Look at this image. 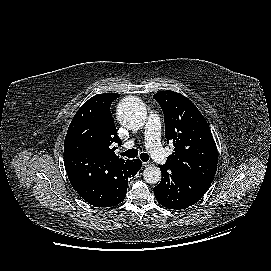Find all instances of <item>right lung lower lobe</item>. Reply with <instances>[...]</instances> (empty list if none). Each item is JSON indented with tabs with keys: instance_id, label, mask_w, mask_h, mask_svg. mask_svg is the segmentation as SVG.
Segmentation results:
<instances>
[{
	"instance_id": "obj_1",
	"label": "right lung lower lobe",
	"mask_w": 271,
	"mask_h": 271,
	"mask_svg": "<svg viewBox=\"0 0 271 271\" xmlns=\"http://www.w3.org/2000/svg\"><path fill=\"white\" fill-rule=\"evenodd\" d=\"M64 164L73 188L87 203L97 207L122 202L128 180L142 166L139 159L111 162L81 152L65 153Z\"/></svg>"
}]
</instances>
